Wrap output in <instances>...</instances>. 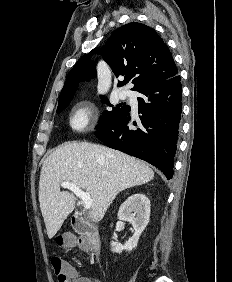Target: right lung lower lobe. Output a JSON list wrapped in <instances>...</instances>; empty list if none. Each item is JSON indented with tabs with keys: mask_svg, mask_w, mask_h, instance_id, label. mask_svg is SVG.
<instances>
[{
	"mask_svg": "<svg viewBox=\"0 0 232 282\" xmlns=\"http://www.w3.org/2000/svg\"><path fill=\"white\" fill-rule=\"evenodd\" d=\"M138 92L140 121L129 128L130 110L95 132L108 147L147 161L160 169L167 179L173 177V161L181 120L182 86L180 76L148 83Z\"/></svg>",
	"mask_w": 232,
	"mask_h": 282,
	"instance_id": "98d812e1",
	"label": "right lung lower lobe"
}]
</instances>
